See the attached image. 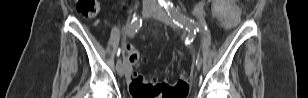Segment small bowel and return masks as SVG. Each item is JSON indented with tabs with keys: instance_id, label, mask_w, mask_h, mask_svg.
Masks as SVG:
<instances>
[{
	"instance_id": "obj_1",
	"label": "small bowel",
	"mask_w": 308,
	"mask_h": 98,
	"mask_svg": "<svg viewBox=\"0 0 308 98\" xmlns=\"http://www.w3.org/2000/svg\"><path fill=\"white\" fill-rule=\"evenodd\" d=\"M127 69H128V74L130 75L131 74V71H130V67H129V64L127 66ZM134 79V78H133ZM178 81V80H177Z\"/></svg>"
}]
</instances>
